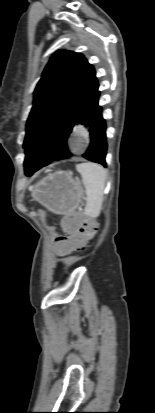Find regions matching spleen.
Segmentation results:
<instances>
[{
  "instance_id": "3e777b00",
  "label": "spleen",
  "mask_w": 155,
  "mask_h": 413,
  "mask_svg": "<svg viewBox=\"0 0 155 413\" xmlns=\"http://www.w3.org/2000/svg\"><path fill=\"white\" fill-rule=\"evenodd\" d=\"M76 170L82 177L87 195L84 213L90 218H97L102 209L107 172L99 164L91 162L77 164Z\"/></svg>"
}]
</instances>
